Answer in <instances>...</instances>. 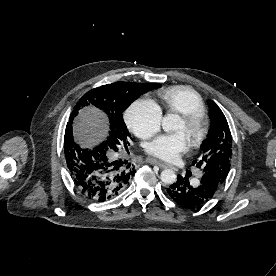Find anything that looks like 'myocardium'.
I'll return each instance as SVG.
<instances>
[{
	"mask_svg": "<svg viewBox=\"0 0 276 276\" xmlns=\"http://www.w3.org/2000/svg\"><path fill=\"white\" fill-rule=\"evenodd\" d=\"M185 125L192 131L190 141L192 148H197L206 138L208 132V120L203 112L193 111L180 115Z\"/></svg>",
	"mask_w": 276,
	"mask_h": 276,
	"instance_id": "myocardium-1",
	"label": "myocardium"
}]
</instances>
